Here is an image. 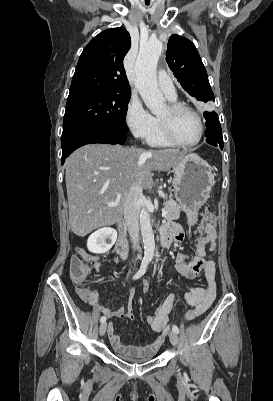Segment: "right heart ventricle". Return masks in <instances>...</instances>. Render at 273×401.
I'll list each match as a JSON object with an SVG mask.
<instances>
[{"instance_id": "1", "label": "right heart ventricle", "mask_w": 273, "mask_h": 401, "mask_svg": "<svg viewBox=\"0 0 273 401\" xmlns=\"http://www.w3.org/2000/svg\"><path fill=\"white\" fill-rule=\"evenodd\" d=\"M169 100L172 102H176V97ZM146 140L149 145L154 147H177V145H175L165 137L158 117H155L153 131Z\"/></svg>"}]
</instances>
